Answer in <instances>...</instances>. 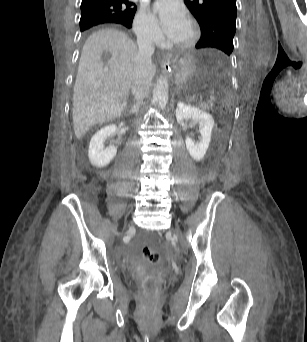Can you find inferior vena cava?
<instances>
[{"label":"inferior vena cava","instance_id":"obj_1","mask_svg":"<svg viewBox=\"0 0 307 342\" xmlns=\"http://www.w3.org/2000/svg\"><path fill=\"white\" fill-rule=\"evenodd\" d=\"M137 44L139 50L134 62L131 88L134 100H136L137 104H141L144 98H147L155 74L151 62L154 48L151 38H145V36H138Z\"/></svg>","mask_w":307,"mask_h":342}]
</instances>
